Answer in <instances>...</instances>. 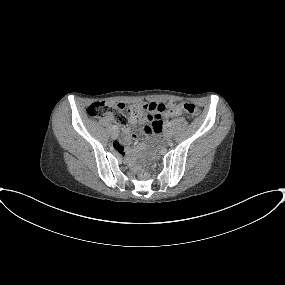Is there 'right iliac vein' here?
<instances>
[{
	"label": "right iliac vein",
	"instance_id": "obj_1",
	"mask_svg": "<svg viewBox=\"0 0 285 285\" xmlns=\"http://www.w3.org/2000/svg\"><path fill=\"white\" fill-rule=\"evenodd\" d=\"M111 136H112L113 139H116L118 137V133L116 131H113L111 133Z\"/></svg>",
	"mask_w": 285,
	"mask_h": 285
}]
</instances>
